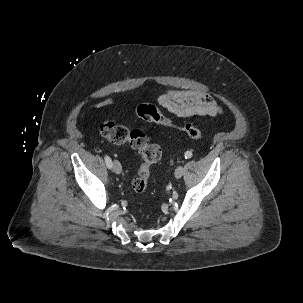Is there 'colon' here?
<instances>
[{
  "mask_svg": "<svg viewBox=\"0 0 303 303\" xmlns=\"http://www.w3.org/2000/svg\"><path fill=\"white\" fill-rule=\"evenodd\" d=\"M135 113L144 121L162 126L177 127L194 140H200L203 137V132L197 125L193 123L176 125L171 119L164 116L153 104H139L135 109ZM100 133L104 138L113 143H129L131 147L140 153L143 163L139 168L136 178L132 182V188L138 195L146 193L151 167L159 162L162 157L161 147L151 143L143 131L139 129L130 130L110 120L100 124Z\"/></svg>",
  "mask_w": 303,
  "mask_h": 303,
  "instance_id": "colon-1",
  "label": "colon"
}]
</instances>
